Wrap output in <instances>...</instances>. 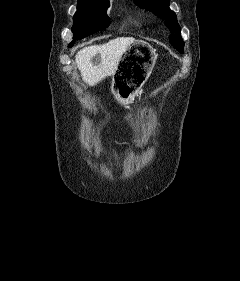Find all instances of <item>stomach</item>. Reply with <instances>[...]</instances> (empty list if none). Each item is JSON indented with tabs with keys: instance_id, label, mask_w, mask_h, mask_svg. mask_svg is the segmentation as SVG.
I'll return each instance as SVG.
<instances>
[{
	"instance_id": "stomach-1",
	"label": "stomach",
	"mask_w": 240,
	"mask_h": 281,
	"mask_svg": "<svg viewBox=\"0 0 240 281\" xmlns=\"http://www.w3.org/2000/svg\"><path fill=\"white\" fill-rule=\"evenodd\" d=\"M157 60L155 49L143 40H135L124 52L111 89L123 103L130 102L152 73Z\"/></svg>"
}]
</instances>
